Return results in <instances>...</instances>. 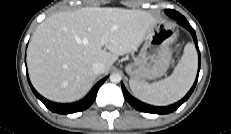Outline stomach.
I'll return each instance as SVG.
<instances>
[{"label":"stomach","mask_w":231,"mask_h":134,"mask_svg":"<svg viewBox=\"0 0 231 134\" xmlns=\"http://www.w3.org/2000/svg\"><path fill=\"white\" fill-rule=\"evenodd\" d=\"M177 38V31L170 23L159 21L147 32L139 55L126 65L131 79L153 80L163 76L172 60L171 44Z\"/></svg>","instance_id":"0dacf381"}]
</instances>
